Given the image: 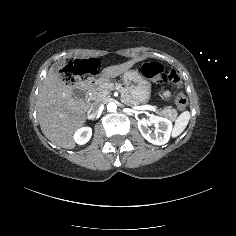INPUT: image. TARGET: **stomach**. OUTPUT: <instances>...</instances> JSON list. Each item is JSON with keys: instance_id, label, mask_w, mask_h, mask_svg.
Here are the masks:
<instances>
[{"instance_id": "stomach-1", "label": "stomach", "mask_w": 236, "mask_h": 236, "mask_svg": "<svg viewBox=\"0 0 236 236\" xmlns=\"http://www.w3.org/2000/svg\"><path fill=\"white\" fill-rule=\"evenodd\" d=\"M123 83L131 97L138 104H146L151 96L150 82L138 71L129 70L123 74Z\"/></svg>"}]
</instances>
